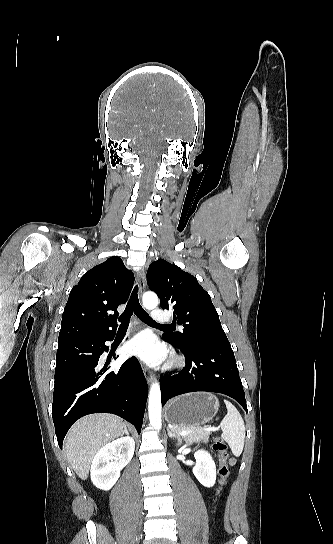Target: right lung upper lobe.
I'll return each mask as SVG.
<instances>
[{
  "label": "right lung upper lobe",
  "mask_w": 333,
  "mask_h": 544,
  "mask_svg": "<svg viewBox=\"0 0 333 544\" xmlns=\"http://www.w3.org/2000/svg\"><path fill=\"white\" fill-rule=\"evenodd\" d=\"M133 283V273L117 256L86 272L69 294L58 344L116 331L117 308L126 303Z\"/></svg>",
  "instance_id": "cb5924a9"
}]
</instances>
